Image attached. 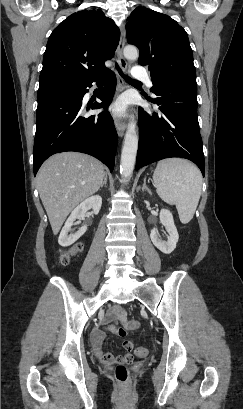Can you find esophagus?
I'll return each mask as SVG.
<instances>
[{"label": "esophagus", "mask_w": 243, "mask_h": 409, "mask_svg": "<svg viewBox=\"0 0 243 409\" xmlns=\"http://www.w3.org/2000/svg\"><path fill=\"white\" fill-rule=\"evenodd\" d=\"M124 46H125V27L124 25H122L120 28V41L117 47L118 63L122 71H126L127 69V62L123 56ZM125 88H126L125 81L123 80L122 77L118 76V92L122 91ZM114 124L118 135L122 137L126 129L125 121L118 117H115Z\"/></svg>", "instance_id": "obj_1"}]
</instances>
